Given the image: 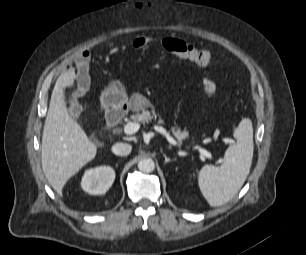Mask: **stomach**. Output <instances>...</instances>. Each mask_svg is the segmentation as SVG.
<instances>
[{
    "mask_svg": "<svg viewBox=\"0 0 306 255\" xmlns=\"http://www.w3.org/2000/svg\"><path fill=\"white\" fill-rule=\"evenodd\" d=\"M101 106L106 111L121 109L128 103V97L125 92V87L120 81H113L102 92L100 97Z\"/></svg>",
    "mask_w": 306,
    "mask_h": 255,
    "instance_id": "obj_1",
    "label": "stomach"
}]
</instances>
